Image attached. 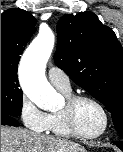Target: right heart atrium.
I'll list each match as a JSON object with an SVG mask.
<instances>
[{
  "label": "right heart atrium",
  "instance_id": "obj_1",
  "mask_svg": "<svg viewBox=\"0 0 123 152\" xmlns=\"http://www.w3.org/2000/svg\"><path fill=\"white\" fill-rule=\"evenodd\" d=\"M19 116L23 124L35 132H46L49 125V115L40 110L26 95H22Z\"/></svg>",
  "mask_w": 123,
  "mask_h": 152
}]
</instances>
